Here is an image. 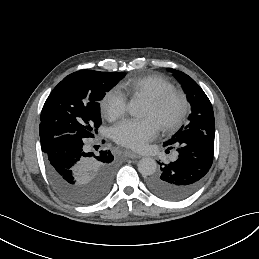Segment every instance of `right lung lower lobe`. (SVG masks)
<instances>
[{
  "label": "right lung lower lobe",
  "mask_w": 259,
  "mask_h": 259,
  "mask_svg": "<svg viewBox=\"0 0 259 259\" xmlns=\"http://www.w3.org/2000/svg\"><path fill=\"white\" fill-rule=\"evenodd\" d=\"M72 136H60L43 150L47 172L64 198L78 205H91L111 188L116 169L114 156L109 150L88 152L87 139H71Z\"/></svg>",
  "instance_id": "right-lung-lower-lobe-1"
}]
</instances>
